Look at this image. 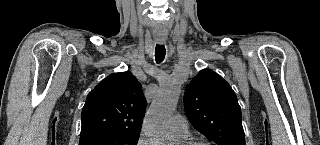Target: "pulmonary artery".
<instances>
[{
    "label": "pulmonary artery",
    "instance_id": "pulmonary-artery-1",
    "mask_svg": "<svg viewBox=\"0 0 320 145\" xmlns=\"http://www.w3.org/2000/svg\"><path fill=\"white\" fill-rule=\"evenodd\" d=\"M170 129L180 139H186L189 136L188 121L179 114L172 116Z\"/></svg>",
    "mask_w": 320,
    "mask_h": 145
}]
</instances>
